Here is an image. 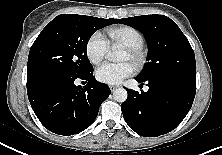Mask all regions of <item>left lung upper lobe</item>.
I'll list each match as a JSON object with an SVG mask.
<instances>
[{"label":"left lung upper lobe","instance_id":"5c2ea615","mask_svg":"<svg viewBox=\"0 0 222 155\" xmlns=\"http://www.w3.org/2000/svg\"><path fill=\"white\" fill-rule=\"evenodd\" d=\"M140 31L148 43V62L137 76H177L196 82L194 51L174 21L163 15H143L118 19Z\"/></svg>","mask_w":222,"mask_h":155}]
</instances>
